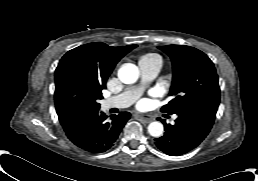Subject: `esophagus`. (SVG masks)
Returning a JSON list of instances; mask_svg holds the SVG:
<instances>
[{
    "mask_svg": "<svg viewBox=\"0 0 258 181\" xmlns=\"http://www.w3.org/2000/svg\"><path fill=\"white\" fill-rule=\"evenodd\" d=\"M138 118L143 123H150L153 120V118L150 115H146V114L138 115Z\"/></svg>",
    "mask_w": 258,
    "mask_h": 181,
    "instance_id": "34e87169",
    "label": "esophagus"
}]
</instances>
